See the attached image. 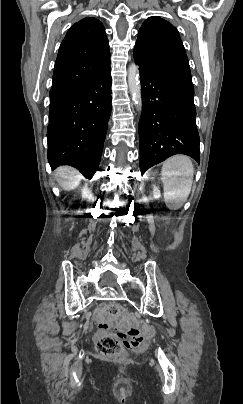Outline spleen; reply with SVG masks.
Instances as JSON below:
<instances>
[{"mask_svg": "<svg viewBox=\"0 0 243 404\" xmlns=\"http://www.w3.org/2000/svg\"><path fill=\"white\" fill-rule=\"evenodd\" d=\"M194 168L188 156H172L164 162L161 180L164 200L170 210H176L180 202H186L192 188Z\"/></svg>", "mask_w": 243, "mask_h": 404, "instance_id": "1", "label": "spleen"}]
</instances>
